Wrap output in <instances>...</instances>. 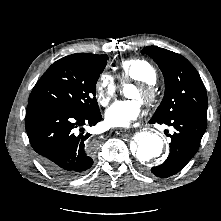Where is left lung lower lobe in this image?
<instances>
[{"label":"left lung lower lobe","instance_id":"1","mask_svg":"<svg viewBox=\"0 0 221 221\" xmlns=\"http://www.w3.org/2000/svg\"><path fill=\"white\" fill-rule=\"evenodd\" d=\"M155 122L150 120V123ZM157 123L175 129L174 134L170 135L172 141L168 158L163 164L151 168L154 175L164 178L179 172L195 155L205 133L207 120L192 114H179Z\"/></svg>","mask_w":221,"mask_h":221}]
</instances>
